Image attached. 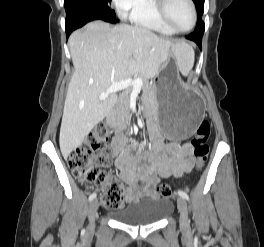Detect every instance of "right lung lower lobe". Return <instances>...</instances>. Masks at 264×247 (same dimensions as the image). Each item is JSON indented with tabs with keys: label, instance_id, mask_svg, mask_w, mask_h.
I'll list each match as a JSON object with an SVG mask.
<instances>
[{
	"label": "right lung lower lobe",
	"instance_id": "1",
	"mask_svg": "<svg viewBox=\"0 0 264 247\" xmlns=\"http://www.w3.org/2000/svg\"><path fill=\"white\" fill-rule=\"evenodd\" d=\"M104 20L110 23H115L116 18H108L103 15H100L96 12L87 11V10H70L66 12V21H65V29L67 38L77 28L82 27L86 23L93 20Z\"/></svg>",
	"mask_w": 264,
	"mask_h": 247
}]
</instances>
